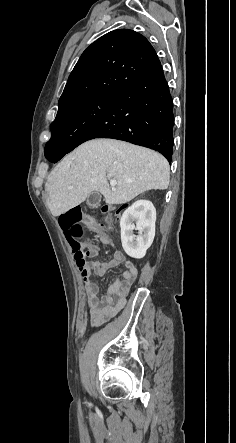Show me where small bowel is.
Returning a JSON list of instances; mask_svg holds the SVG:
<instances>
[{
  "label": "small bowel",
  "instance_id": "c3829d8e",
  "mask_svg": "<svg viewBox=\"0 0 236 443\" xmlns=\"http://www.w3.org/2000/svg\"><path fill=\"white\" fill-rule=\"evenodd\" d=\"M100 241L106 245L114 244L107 235H101ZM88 247L93 254L98 252V247L94 243H89ZM120 265L125 267L122 277H115L108 287L107 294L100 295V285L93 279V276H103L110 269ZM76 266L84 284L91 324L99 326L124 307L130 289L137 278L138 268L120 250H116L113 258L108 262L93 261L84 264L76 262Z\"/></svg>",
  "mask_w": 236,
  "mask_h": 443
}]
</instances>
